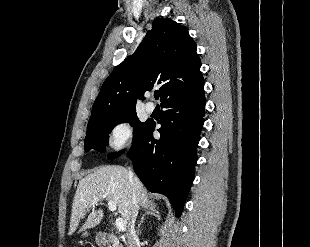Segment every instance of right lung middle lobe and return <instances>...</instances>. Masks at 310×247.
Segmentation results:
<instances>
[{"label": "right lung middle lobe", "instance_id": "1", "mask_svg": "<svg viewBox=\"0 0 310 247\" xmlns=\"http://www.w3.org/2000/svg\"><path fill=\"white\" fill-rule=\"evenodd\" d=\"M123 122H130L131 126H134L132 144L147 124V122L142 123L138 120L136 110L125 111L119 114L98 118L87 126V134L84 144L85 151L96 149L103 152L105 150V145L108 143V134L114 126ZM120 154L121 152L110 155L109 158L114 159Z\"/></svg>", "mask_w": 310, "mask_h": 247}]
</instances>
